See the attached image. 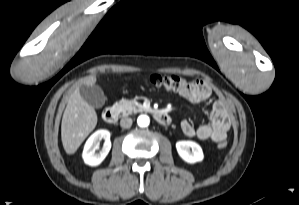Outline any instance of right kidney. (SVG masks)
<instances>
[{"instance_id":"right-kidney-1","label":"right kidney","mask_w":299,"mask_h":205,"mask_svg":"<svg viewBox=\"0 0 299 205\" xmlns=\"http://www.w3.org/2000/svg\"><path fill=\"white\" fill-rule=\"evenodd\" d=\"M104 139V145L99 153L96 150L99 148V142ZM111 149L110 133L107 130H97L86 141L82 153L84 163L89 166H98L105 159Z\"/></svg>"}]
</instances>
